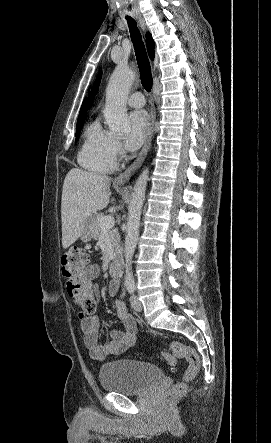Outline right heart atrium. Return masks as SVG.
Returning <instances> with one entry per match:
<instances>
[{
	"mask_svg": "<svg viewBox=\"0 0 271 443\" xmlns=\"http://www.w3.org/2000/svg\"><path fill=\"white\" fill-rule=\"evenodd\" d=\"M113 151L116 156L122 154L123 149H122V143L120 140H118V139L114 140Z\"/></svg>",
	"mask_w": 271,
	"mask_h": 443,
	"instance_id": "obj_1",
	"label": "right heart atrium"
}]
</instances>
